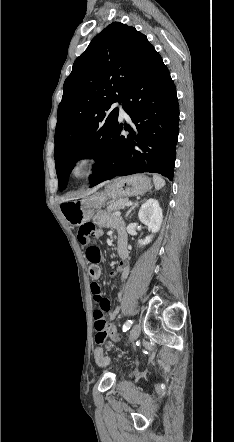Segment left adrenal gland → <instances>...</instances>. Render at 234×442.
<instances>
[{
	"mask_svg": "<svg viewBox=\"0 0 234 442\" xmlns=\"http://www.w3.org/2000/svg\"><path fill=\"white\" fill-rule=\"evenodd\" d=\"M138 202L137 203H135L129 210H128V212L126 213V218L129 216V214L131 213V211L132 210H134L135 209V207H137L138 206Z\"/></svg>",
	"mask_w": 234,
	"mask_h": 442,
	"instance_id": "obj_1",
	"label": "left adrenal gland"
}]
</instances>
